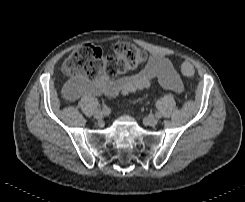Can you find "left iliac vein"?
I'll list each match as a JSON object with an SVG mask.
<instances>
[{
    "instance_id": "4c4485c4",
    "label": "left iliac vein",
    "mask_w": 245,
    "mask_h": 202,
    "mask_svg": "<svg viewBox=\"0 0 245 202\" xmlns=\"http://www.w3.org/2000/svg\"><path fill=\"white\" fill-rule=\"evenodd\" d=\"M144 123L149 126H155L158 123V119L155 117H146L144 118Z\"/></svg>"
}]
</instances>
